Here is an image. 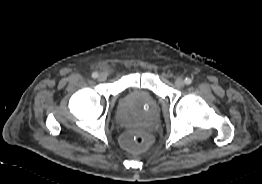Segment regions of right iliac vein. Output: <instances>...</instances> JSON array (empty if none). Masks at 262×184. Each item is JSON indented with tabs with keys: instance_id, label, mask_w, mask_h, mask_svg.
Masks as SVG:
<instances>
[{
	"instance_id": "obj_1",
	"label": "right iliac vein",
	"mask_w": 262,
	"mask_h": 184,
	"mask_svg": "<svg viewBox=\"0 0 262 184\" xmlns=\"http://www.w3.org/2000/svg\"><path fill=\"white\" fill-rule=\"evenodd\" d=\"M106 79H107V76H106V74H104V73H101V74L98 76V80L101 81V82L105 81Z\"/></svg>"
}]
</instances>
